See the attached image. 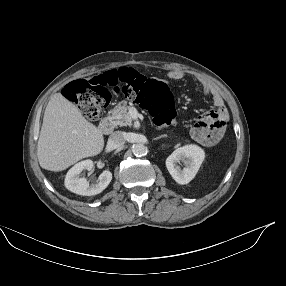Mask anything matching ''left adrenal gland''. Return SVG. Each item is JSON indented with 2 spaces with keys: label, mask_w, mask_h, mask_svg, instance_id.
I'll return each instance as SVG.
<instances>
[{
  "label": "left adrenal gland",
  "mask_w": 286,
  "mask_h": 286,
  "mask_svg": "<svg viewBox=\"0 0 286 286\" xmlns=\"http://www.w3.org/2000/svg\"><path fill=\"white\" fill-rule=\"evenodd\" d=\"M163 137H165V136L162 135V136H160V137L154 138L153 140H158V139L163 138Z\"/></svg>",
  "instance_id": "a2214340"
}]
</instances>
